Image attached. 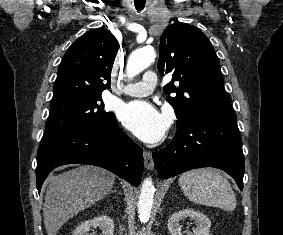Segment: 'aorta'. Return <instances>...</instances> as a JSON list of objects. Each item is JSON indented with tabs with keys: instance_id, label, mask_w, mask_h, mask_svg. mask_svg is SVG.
Segmentation results:
<instances>
[{
	"instance_id": "aorta-1",
	"label": "aorta",
	"mask_w": 283,
	"mask_h": 235,
	"mask_svg": "<svg viewBox=\"0 0 283 235\" xmlns=\"http://www.w3.org/2000/svg\"><path fill=\"white\" fill-rule=\"evenodd\" d=\"M156 58V52L152 47H144L134 51L127 62V75L134 77L148 68ZM155 187L151 178L143 181L139 201L138 214L141 222H147L151 216V208L154 200Z\"/></svg>"
}]
</instances>
